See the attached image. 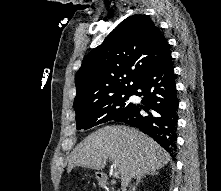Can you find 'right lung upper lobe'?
Listing matches in <instances>:
<instances>
[{
  "label": "right lung upper lobe",
  "mask_w": 221,
  "mask_h": 191,
  "mask_svg": "<svg viewBox=\"0 0 221 191\" xmlns=\"http://www.w3.org/2000/svg\"><path fill=\"white\" fill-rule=\"evenodd\" d=\"M169 52L167 40L148 16L126 18L83 59L75 77L76 113L133 91L142 77Z\"/></svg>",
  "instance_id": "cb5924a9"
}]
</instances>
